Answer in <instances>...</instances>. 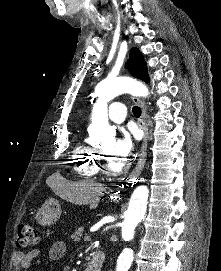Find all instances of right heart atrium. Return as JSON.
<instances>
[{"label":"right heart atrium","instance_id":"obj_1","mask_svg":"<svg viewBox=\"0 0 221 271\" xmlns=\"http://www.w3.org/2000/svg\"><path fill=\"white\" fill-rule=\"evenodd\" d=\"M168 81H173V80H168ZM81 155H90V160L89 161H92L91 159H101V154H81Z\"/></svg>","mask_w":221,"mask_h":271}]
</instances>
